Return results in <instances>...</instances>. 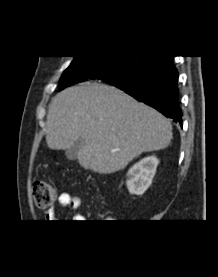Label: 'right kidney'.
I'll return each instance as SVG.
<instances>
[{"label": "right kidney", "instance_id": "1", "mask_svg": "<svg viewBox=\"0 0 218 277\" xmlns=\"http://www.w3.org/2000/svg\"><path fill=\"white\" fill-rule=\"evenodd\" d=\"M158 164L155 156H148L129 169L126 185L131 194L142 195L149 188Z\"/></svg>", "mask_w": 218, "mask_h": 277}]
</instances>
